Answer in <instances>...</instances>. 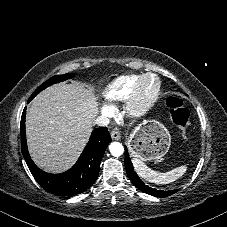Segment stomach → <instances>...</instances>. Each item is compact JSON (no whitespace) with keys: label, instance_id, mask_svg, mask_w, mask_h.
I'll list each match as a JSON object with an SVG mask.
<instances>
[{"label":"stomach","instance_id":"1","mask_svg":"<svg viewBox=\"0 0 227 227\" xmlns=\"http://www.w3.org/2000/svg\"><path fill=\"white\" fill-rule=\"evenodd\" d=\"M171 136L167 128L156 120L139 124L130 134L128 150L141 161L161 159L168 152Z\"/></svg>","mask_w":227,"mask_h":227}]
</instances>
